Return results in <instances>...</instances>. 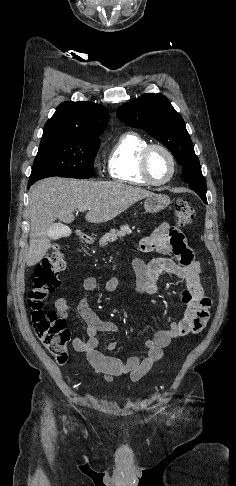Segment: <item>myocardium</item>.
<instances>
[{"instance_id": "obj_1", "label": "myocardium", "mask_w": 236, "mask_h": 486, "mask_svg": "<svg viewBox=\"0 0 236 486\" xmlns=\"http://www.w3.org/2000/svg\"><path fill=\"white\" fill-rule=\"evenodd\" d=\"M154 149L161 150L163 153H165L166 156L168 157L169 161H170V164H171V171H170L169 176L166 179L161 180V181L154 180L151 177L149 170H148V158H149L150 153ZM176 168H177V165H176V160H175L173 153L167 147H165L161 144H148L142 150V152L140 154V159H139L140 174L143 177V179L150 185L161 186V185H165V184L169 183L173 179V177L176 173Z\"/></svg>"}]
</instances>
